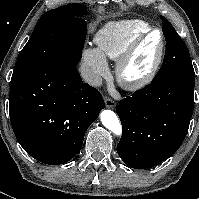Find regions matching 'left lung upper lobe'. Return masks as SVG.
I'll return each mask as SVG.
<instances>
[{
    "label": "left lung upper lobe",
    "instance_id": "1",
    "mask_svg": "<svg viewBox=\"0 0 199 199\" xmlns=\"http://www.w3.org/2000/svg\"><path fill=\"white\" fill-rule=\"evenodd\" d=\"M163 34L166 40V51L162 67L152 82L171 77H191L195 78L192 61L188 48L174 27L163 16Z\"/></svg>",
    "mask_w": 199,
    "mask_h": 199
}]
</instances>
